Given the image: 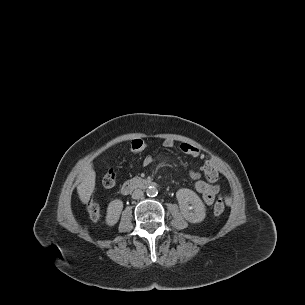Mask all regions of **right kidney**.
Returning <instances> with one entry per match:
<instances>
[{
	"label": "right kidney",
	"mask_w": 305,
	"mask_h": 305,
	"mask_svg": "<svg viewBox=\"0 0 305 305\" xmlns=\"http://www.w3.org/2000/svg\"><path fill=\"white\" fill-rule=\"evenodd\" d=\"M123 209V202L119 199L111 201L107 208L106 223L109 226H114L120 217Z\"/></svg>",
	"instance_id": "1"
}]
</instances>
